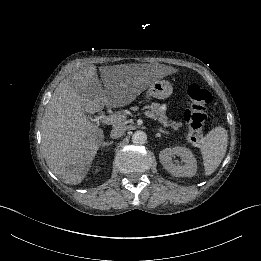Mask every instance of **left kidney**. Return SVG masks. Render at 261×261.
<instances>
[{
	"label": "left kidney",
	"instance_id": "obj_1",
	"mask_svg": "<svg viewBox=\"0 0 261 261\" xmlns=\"http://www.w3.org/2000/svg\"><path fill=\"white\" fill-rule=\"evenodd\" d=\"M181 157L184 165H176L172 156ZM159 160L163 167L175 177H193L197 172V161L192 152L186 147L166 148L160 151Z\"/></svg>",
	"mask_w": 261,
	"mask_h": 261
}]
</instances>
